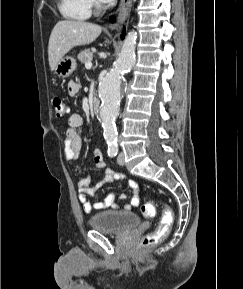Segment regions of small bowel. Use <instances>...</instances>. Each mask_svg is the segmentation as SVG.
Instances as JSON below:
<instances>
[{"mask_svg": "<svg viewBox=\"0 0 243 289\" xmlns=\"http://www.w3.org/2000/svg\"><path fill=\"white\" fill-rule=\"evenodd\" d=\"M80 89L79 82L72 80L68 84V93L74 96ZM68 128L63 136V151L65 158L68 161H76L79 159L82 149L83 141L80 134V129L83 125V117L80 114H70L67 120ZM93 163L97 169L104 170V177L102 180L92 182L88 174H84L77 180L79 190V201L86 213H91L93 209L102 210L106 208L118 209L120 207L118 200L126 198V193L117 196L115 193H109L101 202L91 203L89 197L94 196L98 189L110 181H117L124 178V175L112 168H106L105 160L100 150L93 152ZM128 186L133 192L130 203L125 204L126 210H132L137 207L140 202V187L138 183L130 179Z\"/></svg>", "mask_w": 243, "mask_h": 289, "instance_id": "small-bowel-1", "label": "small bowel"}]
</instances>
